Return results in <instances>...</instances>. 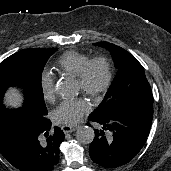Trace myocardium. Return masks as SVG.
<instances>
[{
  "label": "myocardium",
  "mask_w": 171,
  "mask_h": 171,
  "mask_svg": "<svg viewBox=\"0 0 171 171\" xmlns=\"http://www.w3.org/2000/svg\"><path fill=\"white\" fill-rule=\"evenodd\" d=\"M100 64L104 68V79L100 86L93 87L91 85V71L92 68ZM80 85V90L91 98H98L104 95L111 86L113 72L110 61L103 56L90 59L82 68L80 74L76 77Z\"/></svg>",
  "instance_id": "f54148a6"
}]
</instances>
